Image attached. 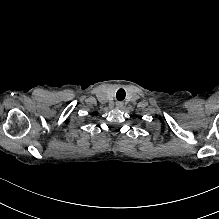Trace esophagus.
<instances>
[{
  "instance_id": "esophagus-1",
  "label": "esophagus",
  "mask_w": 219,
  "mask_h": 219,
  "mask_svg": "<svg viewBox=\"0 0 219 219\" xmlns=\"http://www.w3.org/2000/svg\"><path fill=\"white\" fill-rule=\"evenodd\" d=\"M116 106H117L118 108H120V107L123 106V103H122V102H116Z\"/></svg>"
}]
</instances>
